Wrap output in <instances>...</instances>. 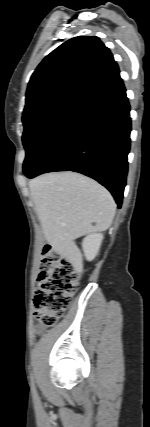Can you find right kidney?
Here are the masks:
<instances>
[{"instance_id": "obj_1", "label": "right kidney", "mask_w": 150, "mask_h": 427, "mask_svg": "<svg viewBox=\"0 0 150 427\" xmlns=\"http://www.w3.org/2000/svg\"><path fill=\"white\" fill-rule=\"evenodd\" d=\"M103 235L100 233L90 234L83 239L82 247L87 260H93L100 249Z\"/></svg>"}]
</instances>
